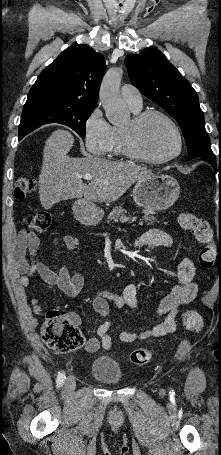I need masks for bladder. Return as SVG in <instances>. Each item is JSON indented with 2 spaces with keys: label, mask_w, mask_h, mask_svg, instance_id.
Masks as SVG:
<instances>
[{
  "label": "bladder",
  "mask_w": 221,
  "mask_h": 455,
  "mask_svg": "<svg viewBox=\"0 0 221 455\" xmlns=\"http://www.w3.org/2000/svg\"><path fill=\"white\" fill-rule=\"evenodd\" d=\"M91 373L96 379L106 384H119L122 380L120 365L106 359L95 360L91 366Z\"/></svg>",
  "instance_id": "1"
}]
</instances>
